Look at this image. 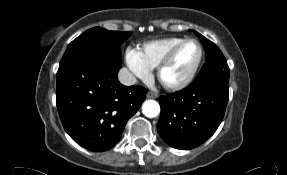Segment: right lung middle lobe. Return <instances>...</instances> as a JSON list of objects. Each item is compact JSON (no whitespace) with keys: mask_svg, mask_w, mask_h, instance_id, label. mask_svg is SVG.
I'll list each match as a JSON object with an SVG mask.
<instances>
[{"mask_svg":"<svg viewBox=\"0 0 287 175\" xmlns=\"http://www.w3.org/2000/svg\"><path fill=\"white\" fill-rule=\"evenodd\" d=\"M131 32L108 31L101 27L87 30L67 47L59 68L84 60H101L120 67L121 44Z\"/></svg>","mask_w":287,"mask_h":175,"instance_id":"obj_1","label":"right lung middle lobe"}]
</instances>
